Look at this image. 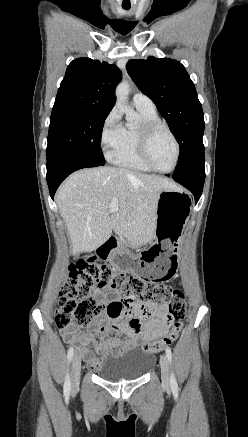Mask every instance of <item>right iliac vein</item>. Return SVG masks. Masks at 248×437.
Returning a JSON list of instances; mask_svg holds the SVG:
<instances>
[{"label": "right iliac vein", "instance_id": "obj_1", "mask_svg": "<svg viewBox=\"0 0 248 437\" xmlns=\"http://www.w3.org/2000/svg\"><path fill=\"white\" fill-rule=\"evenodd\" d=\"M80 373H81V356L79 353H75L72 359V366H71V382L73 388L77 387L79 384Z\"/></svg>", "mask_w": 248, "mask_h": 437}]
</instances>
